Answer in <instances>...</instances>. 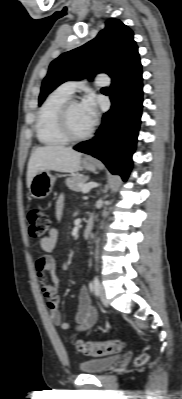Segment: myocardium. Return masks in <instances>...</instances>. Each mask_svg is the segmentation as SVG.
Masks as SVG:
<instances>
[{"mask_svg": "<svg viewBox=\"0 0 182 399\" xmlns=\"http://www.w3.org/2000/svg\"><path fill=\"white\" fill-rule=\"evenodd\" d=\"M75 103H78V101L70 98L61 106L58 113V126L61 134L67 141L80 142L88 139L92 135L94 131V123L91 125L88 131L82 135H75L71 131L69 123V111L71 106Z\"/></svg>", "mask_w": 182, "mask_h": 399, "instance_id": "myocardium-1", "label": "myocardium"}]
</instances>
